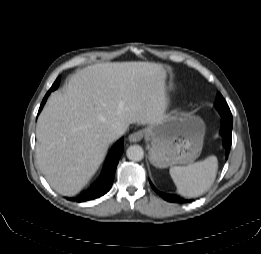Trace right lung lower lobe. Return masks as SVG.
Returning a JSON list of instances; mask_svg holds the SVG:
<instances>
[{
	"mask_svg": "<svg viewBox=\"0 0 261 254\" xmlns=\"http://www.w3.org/2000/svg\"><path fill=\"white\" fill-rule=\"evenodd\" d=\"M59 81L60 79L57 78V80L54 82L53 86L51 87L50 91H53L58 88L59 86ZM50 92H48L39 108V112L41 111L43 105L45 104L47 97L49 96ZM124 149V144H123V139H120L115 147L112 150L110 159L107 163L106 170L104 176L101 178V180L91 187L86 193H84L82 196L77 198L78 202H83L87 200H93L95 198H99L100 196L104 195L109 191V189L112 186L113 180H114V175H115V170L119 161V158L121 154L123 153ZM71 200V198H70Z\"/></svg>",
	"mask_w": 261,
	"mask_h": 254,
	"instance_id": "obj_1",
	"label": "right lung lower lobe"
}]
</instances>
